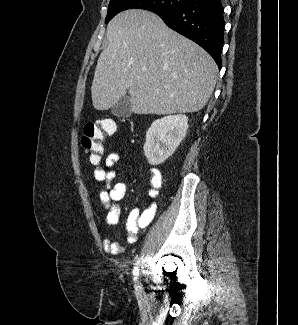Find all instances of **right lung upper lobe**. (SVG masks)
I'll use <instances>...</instances> for the list:
<instances>
[{
	"mask_svg": "<svg viewBox=\"0 0 298 325\" xmlns=\"http://www.w3.org/2000/svg\"><path fill=\"white\" fill-rule=\"evenodd\" d=\"M156 12H157V13H160V12H162V10H157ZM154 13H155V12H154Z\"/></svg>",
	"mask_w": 298,
	"mask_h": 325,
	"instance_id": "obj_1",
	"label": "right lung upper lobe"
}]
</instances>
